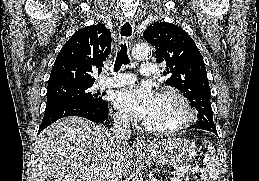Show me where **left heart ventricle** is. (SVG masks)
I'll return each instance as SVG.
<instances>
[{"instance_id":"1","label":"left heart ventricle","mask_w":259,"mask_h":181,"mask_svg":"<svg viewBox=\"0 0 259 181\" xmlns=\"http://www.w3.org/2000/svg\"><path fill=\"white\" fill-rule=\"evenodd\" d=\"M182 117V107L176 100L170 97L157 98L155 110L146 123L154 127H168L180 122Z\"/></svg>"}]
</instances>
